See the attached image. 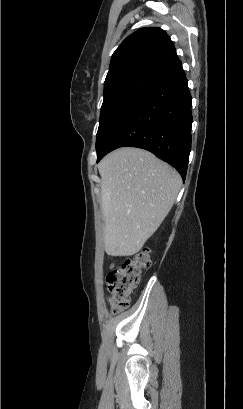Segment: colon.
I'll use <instances>...</instances> for the list:
<instances>
[{
  "mask_svg": "<svg viewBox=\"0 0 243 409\" xmlns=\"http://www.w3.org/2000/svg\"><path fill=\"white\" fill-rule=\"evenodd\" d=\"M151 263L150 250L145 248L127 259L121 267L111 268L107 275V287L111 293L110 305L114 315L129 306L142 269L149 268Z\"/></svg>",
  "mask_w": 243,
  "mask_h": 409,
  "instance_id": "5ec220e1",
  "label": "colon"
}]
</instances>
